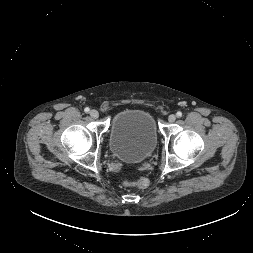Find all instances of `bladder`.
<instances>
[{
	"instance_id": "obj_1",
	"label": "bladder",
	"mask_w": 253,
	"mask_h": 253,
	"mask_svg": "<svg viewBox=\"0 0 253 253\" xmlns=\"http://www.w3.org/2000/svg\"><path fill=\"white\" fill-rule=\"evenodd\" d=\"M155 120L144 109H124L116 113L110 124L109 148L112 154L126 163H140L157 147Z\"/></svg>"
}]
</instances>
